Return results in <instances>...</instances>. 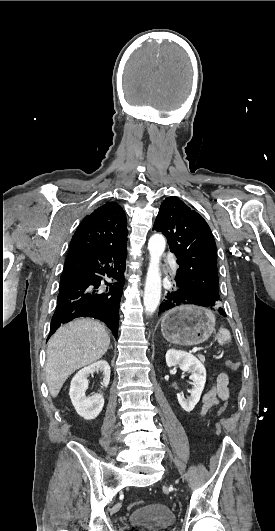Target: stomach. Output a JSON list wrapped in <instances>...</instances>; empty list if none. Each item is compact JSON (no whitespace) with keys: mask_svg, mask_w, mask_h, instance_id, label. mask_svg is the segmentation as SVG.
<instances>
[{"mask_svg":"<svg viewBox=\"0 0 275 531\" xmlns=\"http://www.w3.org/2000/svg\"><path fill=\"white\" fill-rule=\"evenodd\" d=\"M216 317L198 301H180L160 319L162 335L173 345H199L215 331Z\"/></svg>","mask_w":275,"mask_h":531,"instance_id":"1","label":"stomach"}]
</instances>
